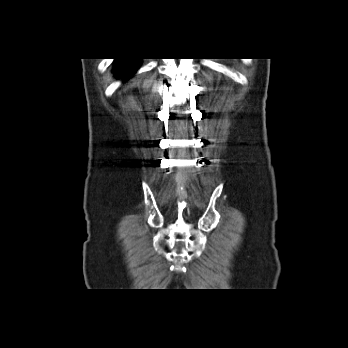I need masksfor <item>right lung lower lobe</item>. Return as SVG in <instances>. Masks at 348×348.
<instances>
[{
  "label": "right lung lower lobe",
  "instance_id": "1",
  "mask_svg": "<svg viewBox=\"0 0 348 348\" xmlns=\"http://www.w3.org/2000/svg\"><path fill=\"white\" fill-rule=\"evenodd\" d=\"M140 59L128 58L117 59L115 72L124 77H129L133 73Z\"/></svg>",
  "mask_w": 348,
  "mask_h": 348
}]
</instances>
